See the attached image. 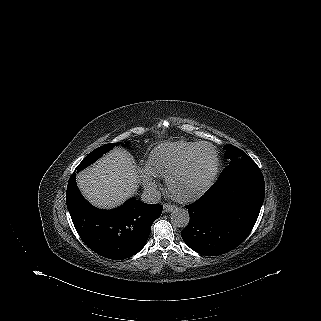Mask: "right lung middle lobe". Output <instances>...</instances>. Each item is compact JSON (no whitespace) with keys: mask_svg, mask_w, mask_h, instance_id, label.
Segmentation results:
<instances>
[{"mask_svg":"<svg viewBox=\"0 0 321 321\" xmlns=\"http://www.w3.org/2000/svg\"><path fill=\"white\" fill-rule=\"evenodd\" d=\"M119 144L118 143H111V144H105L101 147H98L97 149L93 150L91 153L88 154L87 157H85V159L78 165V167L76 168L77 171L82 170L83 168L89 166L92 162H94L95 160H97L99 157L102 156V154L108 152L110 149H112L115 145ZM129 143H127L126 145H128Z\"/></svg>","mask_w":321,"mask_h":321,"instance_id":"right-lung-middle-lobe-1","label":"right lung middle lobe"}]
</instances>
